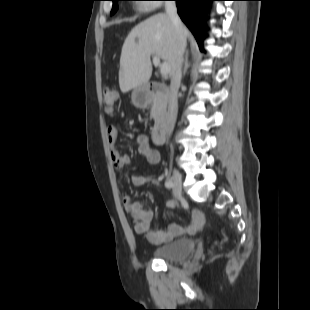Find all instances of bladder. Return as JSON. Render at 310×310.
<instances>
[{"label": "bladder", "mask_w": 310, "mask_h": 310, "mask_svg": "<svg viewBox=\"0 0 310 310\" xmlns=\"http://www.w3.org/2000/svg\"><path fill=\"white\" fill-rule=\"evenodd\" d=\"M195 249L191 239H176L153 250L155 259L162 261H180L189 257Z\"/></svg>", "instance_id": "1"}]
</instances>
